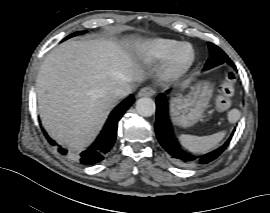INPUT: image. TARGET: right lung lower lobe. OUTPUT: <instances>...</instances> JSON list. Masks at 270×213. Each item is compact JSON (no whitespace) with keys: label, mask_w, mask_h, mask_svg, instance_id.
Returning <instances> with one entry per match:
<instances>
[{"label":"right lung lower lobe","mask_w":270,"mask_h":213,"mask_svg":"<svg viewBox=\"0 0 270 213\" xmlns=\"http://www.w3.org/2000/svg\"><path fill=\"white\" fill-rule=\"evenodd\" d=\"M133 102L134 97L133 95H130L111 112L102 132L96 141L88 149L79 154L78 158L82 164L91 165L103 160L104 156L110 151L115 143L118 121ZM44 134L50 144L56 145L55 141L52 140L45 131ZM58 151L63 155H66L68 152L61 146L58 147Z\"/></svg>","instance_id":"1"}]
</instances>
